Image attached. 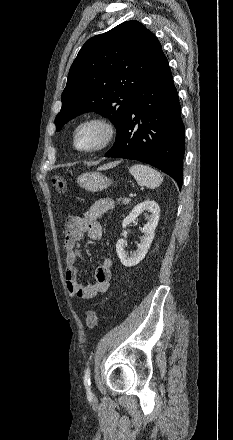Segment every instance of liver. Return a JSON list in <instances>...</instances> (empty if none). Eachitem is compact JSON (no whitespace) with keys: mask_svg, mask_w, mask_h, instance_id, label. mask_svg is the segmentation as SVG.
I'll return each mask as SVG.
<instances>
[{"mask_svg":"<svg viewBox=\"0 0 233 440\" xmlns=\"http://www.w3.org/2000/svg\"><path fill=\"white\" fill-rule=\"evenodd\" d=\"M110 165H106L105 168L109 167Z\"/></svg>","mask_w":233,"mask_h":440,"instance_id":"1","label":"liver"}]
</instances>
